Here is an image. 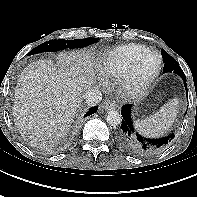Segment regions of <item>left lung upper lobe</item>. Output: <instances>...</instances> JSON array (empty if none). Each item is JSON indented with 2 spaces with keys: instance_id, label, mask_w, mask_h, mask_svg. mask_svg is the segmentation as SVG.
<instances>
[{
  "instance_id": "1",
  "label": "left lung upper lobe",
  "mask_w": 197,
  "mask_h": 197,
  "mask_svg": "<svg viewBox=\"0 0 197 197\" xmlns=\"http://www.w3.org/2000/svg\"><path fill=\"white\" fill-rule=\"evenodd\" d=\"M161 54L164 62L163 73L174 72L180 75L182 78L185 77V74L178 62L172 56H170L165 50H161Z\"/></svg>"
}]
</instances>
